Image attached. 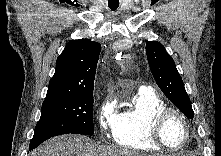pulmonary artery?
<instances>
[{"mask_svg": "<svg viewBox=\"0 0 221 156\" xmlns=\"http://www.w3.org/2000/svg\"><path fill=\"white\" fill-rule=\"evenodd\" d=\"M144 89H148V88L145 87V86H142V87L140 88V90H144Z\"/></svg>", "mask_w": 221, "mask_h": 156, "instance_id": "e3ab8cb5", "label": "pulmonary artery"}]
</instances>
